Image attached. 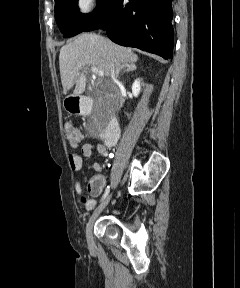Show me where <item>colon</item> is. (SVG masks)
Segmentation results:
<instances>
[{"label": "colon", "mask_w": 240, "mask_h": 288, "mask_svg": "<svg viewBox=\"0 0 240 288\" xmlns=\"http://www.w3.org/2000/svg\"><path fill=\"white\" fill-rule=\"evenodd\" d=\"M64 132L70 146L76 147L81 143L82 135L73 124L69 122L65 123ZM87 190L89 193L94 194L98 190V184L94 180H91L87 185Z\"/></svg>", "instance_id": "obj_1"}]
</instances>
